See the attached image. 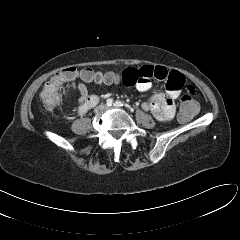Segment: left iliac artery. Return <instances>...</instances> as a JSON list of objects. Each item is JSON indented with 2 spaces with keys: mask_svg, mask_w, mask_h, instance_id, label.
I'll return each mask as SVG.
<instances>
[{
  "mask_svg": "<svg viewBox=\"0 0 240 240\" xmlns=\"http://www.w3.org/2000/svg\"><path fill=\"white\" fill-rule=\"evenodd\" d=\"M114 106H116V107H123V106H125V104L123 102H121V101H115Z\"/></svg>",
  "mask_w": 240,
  "mask_h": 240,
  "instance_id": "1",
  "label": "left iliac artery"
}]
</instances>
